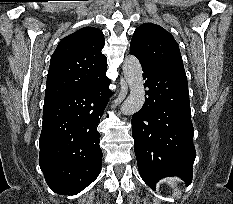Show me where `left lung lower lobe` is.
I'll return each mask as SVG.
<instances>
[{
	"mask_svg": "<svg viewBox=\"0 0 233 204\" xmlns=\"http://www.w3.org/2000/svg\"><path fill=\"white\" fill-rule=\"evenodd\" d=\"M141 65L147 97L131 120L139 173L153 189L167 176H179L189 185L196 152L187 78Z\"/></svg>",
	"mask_w": 233,
	"mask_h": 204,
	"instance_id": "1",
	"label": "left lung lower lobe"
}]
</instances>
